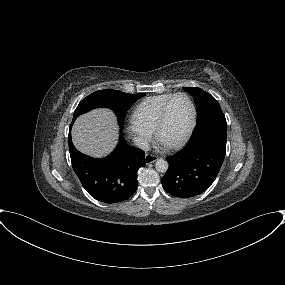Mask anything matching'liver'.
<instances>
[{
  "mask_svg": "<svg viewBox=\"0 0 285 285\" xmlns=\"http://www.w3.org/2000/svg\"><path fill=\"white\" fill-rule=\"evenodd\" d=\"M117 131L114 114L107 109H95L76 119L72 141L80 152L101 158L115 147Z\"/></svg>",
  "mask_w": 285,
  "mask_h": 285,
  "instance_id": "liver-1",
  "label": "liver"
}]
</instances>
